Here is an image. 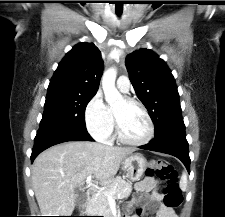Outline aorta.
I'll return each mask as SVG.
<instances>
[{
  "label": "aorta",
  "instance_id": "aorta-1",
  "mask_svg": "<svg viewBox=\"0 0 225 217\" xmlns=\"http://www.w3.org/2000/svg\"><path fill=\"white\" fill-rule=\"evenodd\" d=\"M117 77L116 68L107 69L102 76V88L106 102L112 107L123 101L121 93L115 87Z\"/></svg>",
  "mask_w": 225,
  "mask_h": 217
}]
</instances>
